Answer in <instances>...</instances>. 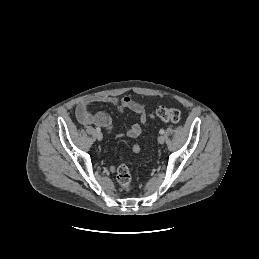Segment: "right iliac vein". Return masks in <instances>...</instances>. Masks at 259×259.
<instances>
[{
	"label": "right iliac vein",
	"instance_id": "right-iliac-vein-1",
	"mask_svg": "<svg viewBox=\"0 0 259 259\" xmlns=\"http://www.w3.org/2000/svg\"><path fill=\"white\" fill-rule=\"evenodd\" d=\"M96 138H97L99 141L102 140V138H103L102 133H101V132H97V133H96Z\"/></svg>",
	"mask_w": 259,
	"mask_h": 259
}]
</instances>
